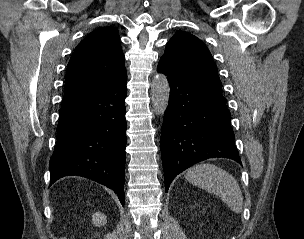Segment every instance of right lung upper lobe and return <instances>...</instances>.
Segmentation results:
<instances>
[{"mask_svg":"<svg viewBox=\"0 0 304 239\" xmlns=\"http://www.w3.org/2000/svg\"><path fill=\"white\" fill-rule=\"evenodd\" d=\"M118 30L92 31L76 47L68 65L62 106L88 97L126 74Z\"/></svg>","mask_w":304,"mask_h":239,"instance_id":"obj_1","label":"right lung upper lobe"}]
</instances>
